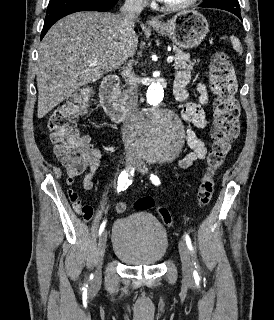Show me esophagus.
I'll return each instance as SVG.
<instances>
[{"mask_svg": "<svg viewBox=\"0 0 274 320\" xmlns=\"http://www.w3.org/2000/svg\"><path fill=\"white\" fill-rule=\"evenodd\" d=\"M155 23H156V20L153 19V18H149V19L147 20V25H149V26H152V25H154Z\"/></svg>", "mask_w": 274, "mask_h": 320, "instance_id": "1", "label": "esophagus"}]
</instances>
